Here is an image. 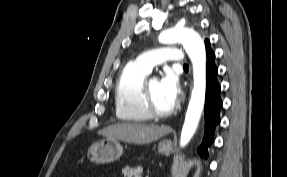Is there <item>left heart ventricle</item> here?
Here are the masks:
<instances>
[{
    "instance_id": "b2bd125f",
    "label": "left heart ventricle",
    "mask_w": 287,
    "mask_h": 177,
    "mask_svg": "<svg viewBox=\"0 0 287 177\" xmlns=\"http://www.w3.org/2000/svg\"><path fill=\"white\" fill-rule=\"evenodd\" d=\"M155 106L161 111H167L175 104L171 101L161 88L159 81H152L148 84Z\"/></svg>"
}]
</instances>
